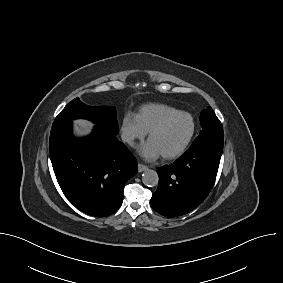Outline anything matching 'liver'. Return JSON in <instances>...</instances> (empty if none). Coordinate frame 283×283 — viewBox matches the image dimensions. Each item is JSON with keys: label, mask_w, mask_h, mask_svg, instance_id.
I'll use <instances>...</instances> for the list:
<instances>
[{"label": "liver", "mask_w": 283, "mask_h": 283, "mask_svg": "<svg viewBox=\"0 0 283 283\" xmlns=\"http://www.w3.org/2000/svg\"><path fill=\"white\" fill-rule=\"evenodd\" d=\"M75 126L76 130L80 132V134H86L94 125L88 120L79 119L75 121Z\"/></svg>", "instance_id": "obj_1"}]
</instances>
